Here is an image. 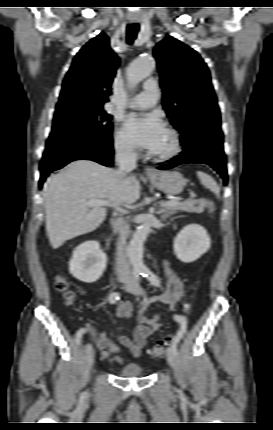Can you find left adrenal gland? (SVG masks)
<instances>
[{
	"instance_id": "obj_1",
	"label": "left adrenal gland",
	"mask_w": 273,
	"mask_h": 430,
	"mask_svg": "<svg viewBox=\"0 0 273 430\" xmlns=\"http://www.w3.org/2000/svg\"><path fill=\"white\" fill-rule=\"evenodd\" d=\"M173 214V212H171V211H166V210H162V215H161V218L163 219V220H166L169 216H171Z\"/></svg>"
}]
</instances>
